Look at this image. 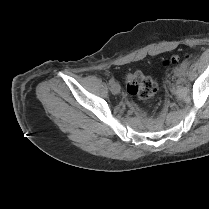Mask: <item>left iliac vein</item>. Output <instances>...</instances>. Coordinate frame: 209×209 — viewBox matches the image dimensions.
Wrapping results in <instances>:
<instances>
[{"mask_svg": "<svg viewBox=\"0 0 209 209\" xmlns=\"http://www.w3.org/2000/svg\"><path fill=\"white\" fill-rule=\"evenodd\" d=\"M184 69L182 68V66L181 67H177L176 69H175V74L177 75V76H182L183 74H184Z\"/></svg>", "mask_w": 209, "mask_h": 209, "instance_id": "obj_1", "label": "left iliac vein"}]
</instances>
